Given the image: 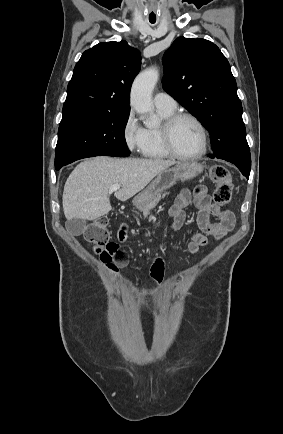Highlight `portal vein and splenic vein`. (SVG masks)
Wrapping results in <instances>:
<instances>
[{
    "label": "portal vein and splenic vein",
    "instance_id": "portal-vein-and-splenic-vein-1",
    "mask_svg": "<svg viewBox=\"0 0 283 434\" xmlns=\"http://www.w3.org/2000/svg\"><path fill=\"white\" fill-rule=\"evenodd\" d=\"M119 188H120V185H118V184L112 185V186L109 188V192L112 193V192H114V191H117Z\"/></svg>",
    "mask_w": 283,
    "mask_h": 434
}]
</instances>
